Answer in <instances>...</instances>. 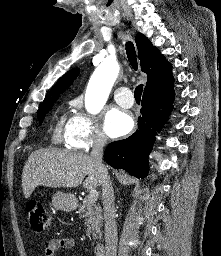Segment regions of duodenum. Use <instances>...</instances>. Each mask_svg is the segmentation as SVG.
Segmentation results:
<instances>
[{
	"label": "duodenum",
	"instance_id": "obj_1",
	"mask_svg": "<svg viewBox=\"0 0 221 256\" xmlns=\"http://www.w3.org/2000/svg\"><path fill=\"white\" fill-rule=\"evenodd\" d=\"M105 252H106V249L103 242H97L94 245V253L96 256H105Z\"/></svg>",
	"mask_w": 221,
	"mask_h": 256
}]
</instances>
